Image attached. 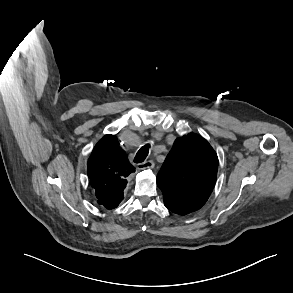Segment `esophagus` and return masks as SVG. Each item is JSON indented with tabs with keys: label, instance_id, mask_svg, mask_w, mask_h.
Returning <instances> with one entry per match:
<instances>
[{
	"label": "esophagus",
	"instance_id": "obj_1",
	"mask_svg": "<svg viewBox=\"0 0 293 293\" xmlns=\"http://www.w3.org/2000/svg\"><path fill=\"white\" fill-rule=\"evenodd\" d=\"M154 167V163L152 160H147L143 163L138 164L137 168L139 170H143V169H151Z\"/></svg>",
	"mask_w": 293,
	"mask_h": 293
}]
</instances>
